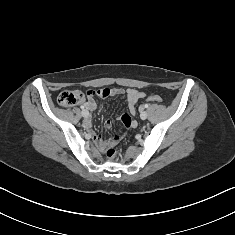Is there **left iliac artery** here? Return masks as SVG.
Here are the masks:
<instances>
[{
  "mask_svg": "<svg viewBox=\"0 0 235 235\" xmlns=\"http://www.w3.org/2000/svg\"><path fill=\"white\" fill-rule=\"evenodd\" d=\"M144 107H145V108H148V104H145Z\"/></svg>",
  "mask_w": 235,
  "mask_h": 235,
  "instance_id": "left-iliac-artery-1",
  "label": "left iliac artery"
}]
</instances>
